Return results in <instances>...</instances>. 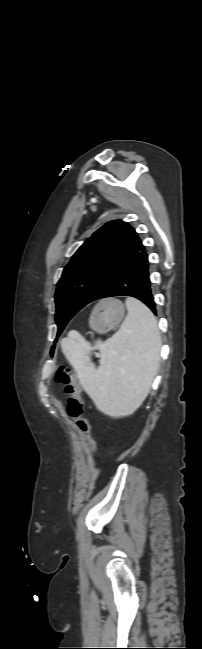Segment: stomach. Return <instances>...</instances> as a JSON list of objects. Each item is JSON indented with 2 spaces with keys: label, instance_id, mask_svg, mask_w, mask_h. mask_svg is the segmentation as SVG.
Masks as SVG:
<instances>
[{
  "label": "stomach",
  "instance_id": "obj_1",
  "mask_svg": "<svg viewBox=\"0 0 202 649\" xmlns=\"http://www.w3.org/2000/svg\"><path fill=\"white\" fill-rule=\"evenodd\" d=\"M125 315L124 305L117 299H106L99 302L90 317V326L99 333H105L122 321Z\"/></svg>",
  "mask_w": 202,
  "mask_h": 649
}]
</instances>
